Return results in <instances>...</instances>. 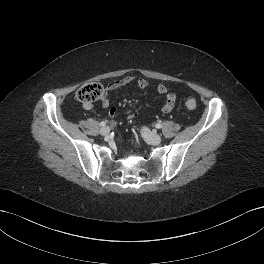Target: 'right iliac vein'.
Instances as JSON below:
<instances>
[{"label":"right iliac vein","mask_w":264,"mask_h":264,"mask_svg":"<svg viewBox=\"0 0 264 264\" xmlns=\"http://www.w3.org/2000/svg\"><path fill=\"white\" fill-rule=\"evenodd\" d=\"M109 132H110V128L109 127H102L101 129H100V134L102 135V136H107L108 134H109Z\"/></svg>","instance_id":"obj_1"}]
</instances>
